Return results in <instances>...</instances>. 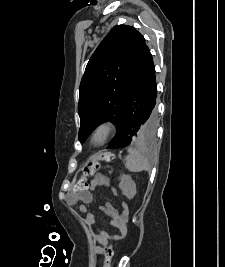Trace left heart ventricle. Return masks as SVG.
Wrapping results in <instances>:
<instances>
[{
	"instance_id": "b2bd125f",
	"label": "left heart ventricle",
	"mask_w": 225,
	"mask_h": 267,
	"mask_svg": "<svg viewBox=\"0 0 225 267\" xmlns=\"http://www.w3.org/2000/svg\"><path fill=\"white\" fill-rule=\"evenodd\" d=\"M103 137H104V132H103V131H99V132L96 134V136H95V138H94V141H95V142H100V141L103 139Z\"/></svg>"
}]
</instances>
